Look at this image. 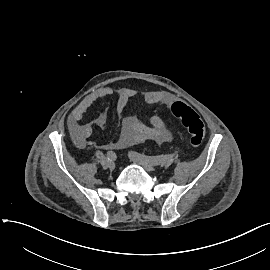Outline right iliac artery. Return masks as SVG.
Returning a JSON list of instances; mask_svg holds the SVG:
<instances>
[{
  "label": "right iliac artery",
  "mask_w": 270,
  "mask_h": 270,
  "mask_svg": "<svg viewBox=\"0 0 270 270\" xmlns=\"http://www.w3.org/2000/svg\"><path fill=\"white\" fill-rule=\"evenodd\" d=\"M107 159L110 161L116 160V154L113 151H108L107 152Z\"/></svg>",
  "instance_id": "obj_1"
}]
</instances>
